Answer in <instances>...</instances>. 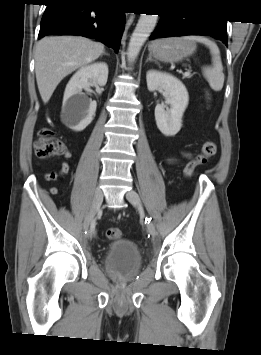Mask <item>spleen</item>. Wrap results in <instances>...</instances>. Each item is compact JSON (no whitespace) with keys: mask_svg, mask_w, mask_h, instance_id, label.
<instances>
[{"mask_svg":"<svg viewBox=\"0 0 261 355\" xmlns=\"http://www.w3.org/2000/svg\"><path fill=\"white\" fill-rule=\"evenodd\" d=\"M184 38L190 41L203 43L210 49V53L212 55V66L204 67L203 75L214 91H220L224 84V73L220 51L216 43L203 36H186Z\"/></svg>","mask_w":261,"mask_h":355,"instance_id":"spleen-1","label":"spleen"}]
</instances>
